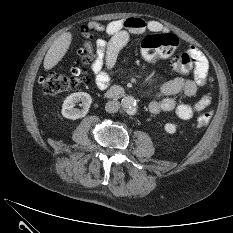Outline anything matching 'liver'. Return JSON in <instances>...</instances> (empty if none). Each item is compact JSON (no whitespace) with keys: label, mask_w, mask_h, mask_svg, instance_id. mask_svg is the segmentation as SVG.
<instances>
[{"label":"liver","mask_w":233,"mask_h":233,"mask_svg":"<svg viewBox=\"0 0 233 233\" xmlns=\"http://www.w3.org/2000/svg\"><path fill=\"white\" fill-rule=\"evenodd\" d=\"M72 34L70 32L62 34L50 46L44 58L45 70H50L55 67L63 58L70 47Z\"/></svg>","instance_id":"1"}]
</instances>
